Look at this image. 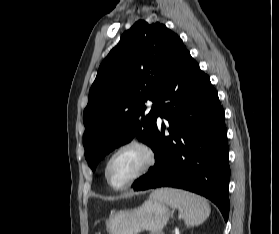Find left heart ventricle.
<instances>
[{"label":"left heart ventricle","instance_id":"1","mask_svg":"<svg viewBox=\"0 0 279 234\" xmlns=\"http://www.w3.org/2000/svg\"><path fill=\"white\" fill-rule=\"evenodd\" d=\"M144 162L143 154L136 149H129L119 154L111 163L110 180L121 184L134 175Z\"/></svg>","mask_w":279,"mask_h":234}]
</instances>
